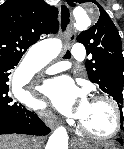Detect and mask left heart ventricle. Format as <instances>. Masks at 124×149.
Listing matches in <instances>:
<instances>
[{
    "instance_id": "1",
    "label": "left heart ventricle",
    "mask_w": 124,
    "mask_h": 149,
    "mask_svg": "<svg viewBox=\"0 0 124 149\" xmlns=\"http://www.w3.org/2000/svg\"><path fill=\"white\" fill-rule=\"evenodd\" d=\"M79 119L89 130L98 135H107L115 127L113 109L104 101H91Z\"/></svg>"
}]
</instances>
